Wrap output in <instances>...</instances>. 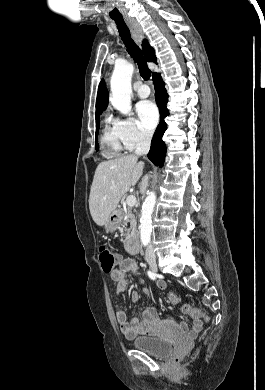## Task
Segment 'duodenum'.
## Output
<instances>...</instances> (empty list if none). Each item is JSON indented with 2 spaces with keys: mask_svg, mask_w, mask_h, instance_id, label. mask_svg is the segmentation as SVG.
Masks as SVG:
<instances>
[{
  "mask_svg": "<svg viewBox=\"0 0 265 390\" xmlns=\"http://www.w3.org/2000/svg\"><path fill=\"white\" fill-rule=\"evenodd\" d=\"M141 250L140 243L137 238L131 237L127 241V251L131 254H138Z\"/></svg>",
  "mask_w": 265,
  "mask_h": 390,
  "instance_id": "410a0bca",
  "label": "duodenum"
}]
</instances>
